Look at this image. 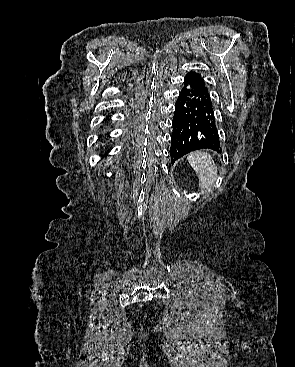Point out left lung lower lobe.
Listing matches in <instances>:
<instances>
[{
    "label": "left lung lower lobe",
    "instance_id": "left-lung-lower-lobe-1",
    "mask_svg": "<svg viewBox=\"0 0 295 367\" xmlns=\"http://www.w3.org/2000/svg\"><path fill=\"white\" fill-rule=\"evenodd\" d=\"M184 85L172 120V164L198 149L221 152L214 106L203 78L199 73L190 72L185 76Z\"/></svg>",
    "mask_w": 295,
    "mask_h": 367
}]
</instances>
